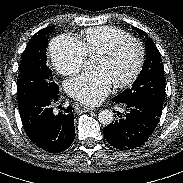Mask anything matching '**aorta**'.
<instances>
[{
    "label": "aorta",
    "instance_id": "762f6f07",
    "mask_svg": "<svg viewBox=\"0 0 183 183\" xmlns=\"http://www.w3.org/2000/svg\"><path fill=\"white\" fill-rule=\"evenodd\" d=\"M99 122L103 125H110L114 120V113L112 110L104 109L98 114Z\"/></svg>",
    "mask_w": 183,
    "mask_h": 183
}]
</instances>
